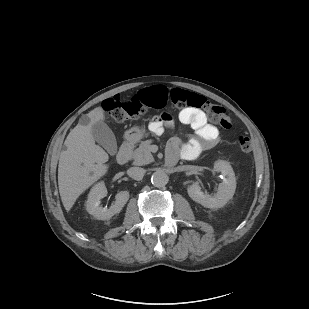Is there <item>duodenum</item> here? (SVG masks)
<instances>
[{
  "instance_id": "duodenum-1",
  "label": "duodenum",
  "mask_w": 309,
  "mask_h": 309,
  "mask_svg": "<svg viewBox=\"0 0 309 309\" xmlns=\"http://www.w3.org/2000/svg\"><path fill=\"white\" fill-rule=\"evenodd\" d=\"M133 146H134L133 140H128L121 146L116 156L117 162L119 164H125L128 162ZM169 164L172 165L174 163H169Z\"/></svg>"
}]
</instances>
